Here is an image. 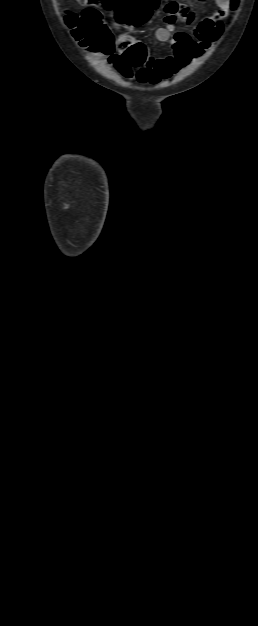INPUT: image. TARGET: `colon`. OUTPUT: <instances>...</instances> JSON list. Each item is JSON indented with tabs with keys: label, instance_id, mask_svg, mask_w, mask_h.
Masks as SVG:
<instances>
[{
	"label": "colon",
	"instance_id": "5ec220e1",
	"mask_svg": "<svg viewBox=\"0 0 258 626\" xmlns=\"http://www.w3.org/2000/svg\"><path fill=\"white\" fill-rule=\"evenodd\" d=\"M87 5L81 13H69L66 22L75 38L82 46L109 54L114 51V41L108 27L102 21L99 9L116 10L120 23L139 26L143 24L158 6L159 0H79ZM238 0H230V8L237 6ZM126 57L134 66H140L146 59L145 49L136 44L129 48Z\"/></svg>",
	"mask_w": 258,
	"mask_h": 626
}]
</instances>
